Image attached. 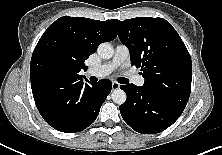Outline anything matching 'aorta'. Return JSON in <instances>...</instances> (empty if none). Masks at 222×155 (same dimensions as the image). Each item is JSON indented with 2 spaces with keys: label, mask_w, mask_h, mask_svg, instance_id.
Returning <instances> with one entry per match:
<instances>
[{
  "label": "aorta",
  "mask_w": 222,
  "mask_h": 155,
  "mask_svg": "<svg viewBox=\"0 0 222 155\" xmlns=\"http://www.w3.org/2000/svg\"><path fill=\"white\" fill-rule=\"evenodd\" d=\"M97 51H98L99 56L103 59H110V58H112V56L114 54V49L109 42L101 43L98 46ZM111 96H112V100L116 104H123L127 98L125 91H123L122 89L114 90Z\"/></svg>",
  "instance_id": "762f6f07"
}]
</instances>
